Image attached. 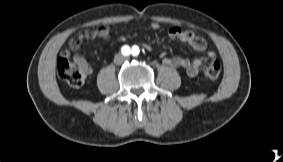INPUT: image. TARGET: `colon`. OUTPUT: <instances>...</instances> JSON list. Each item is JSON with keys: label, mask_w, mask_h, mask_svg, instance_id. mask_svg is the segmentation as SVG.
Segmentation results:
<instances>
[{"label": "colon", "mask_w": 283, "mask_h": 162, "mask_svg": "<svg viewBox=\"0 0 283 162\" xmlns=\"http://www.w3.org/2000/svg\"><path fill=\"white\" fill-rule=\"evenodd\" d=\"M221 62L213 55L205 57L202 64L203 75L210 81H216L221 75ZM57 74L60 79L72 87H80L90 74L87 63L72 62L67 57L61 56L57 61Z\"/></svg>", "instance_id": "obj_1"}]
</instances>
